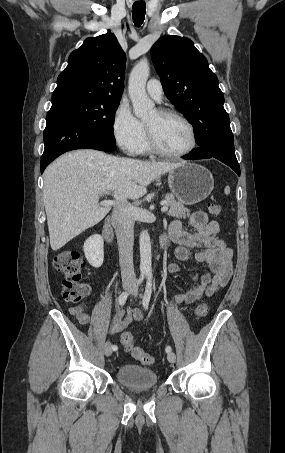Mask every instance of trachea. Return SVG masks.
Segmentation results:
<instances>
[{"label": "trachea", "mask_w": 285, "mask_h": 453, "mask_svg": "<svg viewBox=\"0 0 285 453\" xmlns=\"http://www.w3.org/2000/svg\"><path fill=\"white\" fill-rule=\"evenodd\" d=\"M146 4L143 1H137L132 6V17L135 26L139 27L145 19Z\"/></svg>", "instance_id": "3493384b"}]
</instances>
